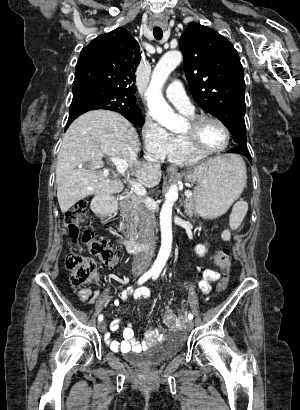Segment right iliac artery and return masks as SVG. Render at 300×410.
<instances>
[{
	"instance_id": "82829eb1",
	"label": "right iliac artery",
	"mask_w": 300,
	"mask_h": 410,
	"mask_svg": "<svg viewBox=\"0 0 300 410\" xmlns=\"http://www.w3.org/2000/svg\"><path fill=\"white\" fill-rule=\"evenodd\" d=\"M154 274V272L152 271H147L146 273H144L138 280V285L143 284L144 282H146L149 278H151V276ZM104 317L103 315H99L98 317V321L101 322L103 321Z\"/></svg>"
}]
</instances>
